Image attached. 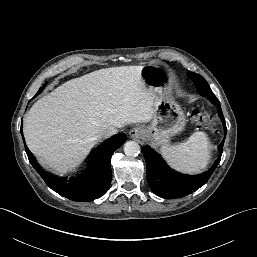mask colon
I'll list each match as a JSON object with an SVG mask.
<instances>
[{
  "mask_svg": "<svg viewBox=\"0 0 257 257\" xmlns=\"http://www.w3.org/2000/svg\"><path fill=\"white\" fill-rule=\"evenodd\" d=\"M191 117L199 126L212 127L211 117L200 109H194L191 113Z\"/></svg>",
  "mask_w": 257,
  "mask_h": 257,
  "instance_id": "1",
  "label": "colon"
}]
</instances>
